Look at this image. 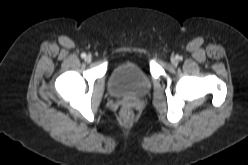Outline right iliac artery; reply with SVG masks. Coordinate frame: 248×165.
Masks as SVG:
<instances>
[{
  "instance_id": "right-iliac-artery-1",
  "label": "right iliac artery",
  "mask_w": 248,
  "mask_h": 165,
  "mask_svg": "<svg viewBox=\"0 0 248 165\" xmlns=\"http://www.w3.org/2000/svg\"><path fill=\"white\" fill-rule=\"evenodd\" d=\"M81 57H82V58H85V57H86V54H85V53H82V54H81Z\"/></svg>"
}]
</instances>
